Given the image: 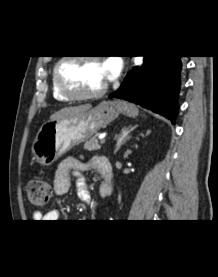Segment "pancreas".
<instances>
[{
  "label": "pancreas",
  "mask_w": 218,
  "mask_h": 277,
  "mask_svg": "<svg viewBox=\"0 0 218 277\" xmlns=\"http://www.w3.org/2000/svg\"><path fill=\"white\" fill-rule=\"evenodd\" d=\"M97 137L98 135H95L90 140L86 141L84 144V149L88 151L100 150L101 145L99 144Z\"/></svg>",
  "instance_id": "1"
}]
</instances>
